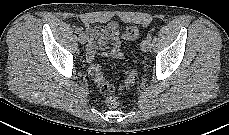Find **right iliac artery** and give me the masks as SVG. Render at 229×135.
<instances>
[{"mask_svg": "<svg viewBox=\"0 0 229 135\" xmlns=\"http://www.w3.org/2000/svg\"><path fill=\"white\" fill-rule=\"evenodd\" d=\"M77 32H78V33H81V29H78Z\"/></svg>", "mask_w": 229, "mask_h": 135, "instance_id": "82829eb1", "label": "right iliac artery"}]
</instances>
